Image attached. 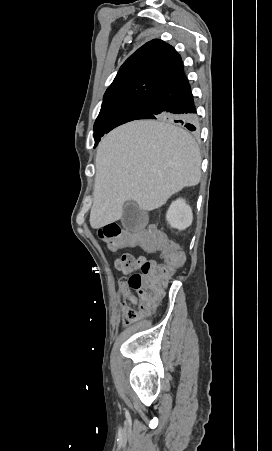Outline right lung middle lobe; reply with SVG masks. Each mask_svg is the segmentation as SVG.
<instances>
[{
  "label": "right lung middle lobe",
  "mask_w": 272,
  "mask_h": 451,
  "mask_svg": "<svg viewBox=\"0 0 272 451\" xmlns=\"http://www.w3.org/2000/svg\"><path fill=\"white\" fill-rule=\"evenodd\" d=\"M149 101L150 97H135L103 103L94 124L95 145L105 133L140 116L148 108Z\"/></svg>",
  "instance_id": "dd1d6c3e"
}]
</instances>
